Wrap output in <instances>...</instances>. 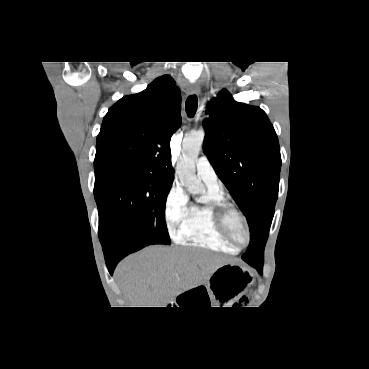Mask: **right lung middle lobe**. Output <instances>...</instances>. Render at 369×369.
Returning <instances> with one entry per match:
<instances>
[{
    "instance_id": "dd1d6c3e",
    "label": "right lung middle lobe",
    "mask_w": 369,
    "mask_h": 369,
    "mask_svg": "<svg viewBox=\"0 0 369 369\" xmlns=\"http://www.w3.org/2000/svg\"><path fill=\"white\" fill-rule=\"evenodd\" d=\"M94 170L101 244L119 234L134 236L146 245L171 244L165 204L172 181L134 169Z\"/></svg>"
}]
</instances>
